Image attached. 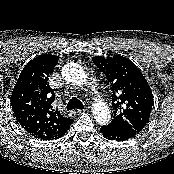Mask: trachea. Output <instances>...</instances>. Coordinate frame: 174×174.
Wrapping results in <instances>:
<instances>
[{
    "mask_svg": "<svg viewBox=\"0 0 174 174\" xmlns=\"http://www.w3.org/2000/svg\"><path fill=\"white\" fill-rule=\"evenodd\" d=\"M83 108H84L83 103L76 97H73L72 99H70V101L68 102L66 106V109L68 111L73 109H83Z\"/></svg>",
    "mask_w": 174,
    "mask_h": 174,
    "instance_id": "1",
    "label": "trachea"
}]
</instances>
